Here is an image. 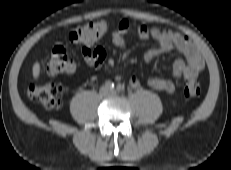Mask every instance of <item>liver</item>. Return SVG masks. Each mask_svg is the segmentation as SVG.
Listing matches in <instances>:
<instances>
[{"label": "liver", "instance_id": "obj_1", "mask_svg": "<svg viewBox=\"0 0 231 170\" xmlns=\"http://www.w3.org/2000/svg\"><path fill=\"white\" fill-rule=\"evenodd\" d=\"M32 74L34 79H38L40 75V64L38 62H35L33 67H32Z\"/></svg>", "mask_w": 231, "mask_h": 170}]
</instances>
